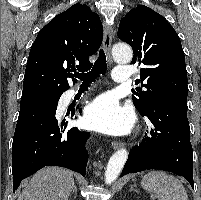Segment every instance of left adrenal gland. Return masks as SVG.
I'll return each mask as SVG.
<instances>
[{
	"label": "left adrenal gland",
	"instance_id": "obj_1",
	"mask_svg": "<svg viewBox=\"0 0 201 200\" xmlns=\"http://www.w3.org/2000/svg\"><path fill=\"white\" fill-rule=\"evenodd\" d=\"M129 191H135L138 193V190L136 188H134L133 186L130 187V190Z\"/></svg>",
	"mask_w": 201,
	"mask_h": 200
}]
</instances>
